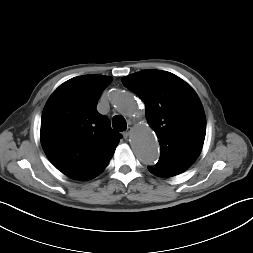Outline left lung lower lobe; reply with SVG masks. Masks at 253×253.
Masks as SVG:
<instances>
[{
  "instance_id": "obj_1",
  "label": "left lung lower lobe",
  "mask_w": 253,
  "mask_h": 253,
  "mask_svg": "<svg viewBox=\"0 0 253 253\" xmlns=\"http://www.w3.org/2000/svg\"><path fill=\"white\" fill-rule=\"evenodd\" d=\"M149 171L156 175V176H160V177H171V176H175L178 175L180 173H182L185 170H180V169H172V168H166V167H161V166H149L148 167Z\"/></svg>"
}]
</instances>
